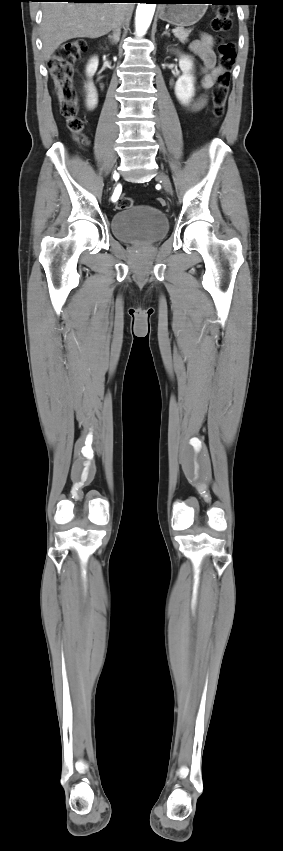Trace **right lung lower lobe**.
<instances>
[{
    "mask_svg": "<svg viewBox=\"0 0 283 851\" xmlns=\"http://www.w3.org/2000/svg\"><path fill=\"white\" fill-rule=\"evenodd\" d=\"M47 1H68V2H105V3H116V2H133L136 3L140 0H47Z\"/></svg>",
    "mask_w": 283,
    "mask_h": 851,
    "instance_id": "right-lung-lower-lobe-1",
    "label": "right lung lower lobe"
}]
</instances>
